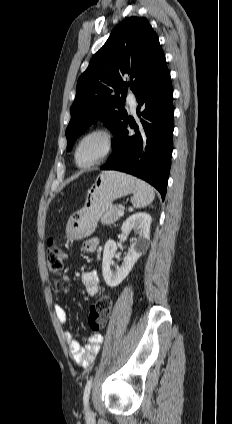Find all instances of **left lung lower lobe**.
Segmentation results:
<instances>
[{
    "label": "left lung lower lobe",
    "mask_w": 232,
    "mask_h": 424,
    "mask_svg": "<svg viewBox=\"0 0 232 424\" xmlns=\"http://www.w3.org/2000/svg\"><path fill=\"white\" fill-rule=\"evenodd\" d=\"M135 94L140 123L125 120L112 143L113 153L101 169L137 176L153 185L164 200L173 147V89L165 58ZM129 123L133 136L128 134Z\"/></svg>",
    "instance_id": "1"
}]
</instances>
